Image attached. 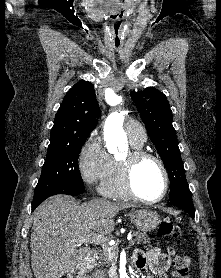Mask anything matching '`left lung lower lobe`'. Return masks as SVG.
<instances>
[{"mask_svg":"<svg viewBox=\"0 0 221 278\" xmlns=\"http://www.w3.org/2000/svg\"><path fill=\"white\" fill-rule=\"evenodd\" d=\"M170 203L186 211L191 216V218L195 217L192 196H182L173 201H170Z\"/></svg>","mask_w":221,"mask_h":278,"instance_id":"0a47b994","label":"left lung lower lobe"}]
</instances>
